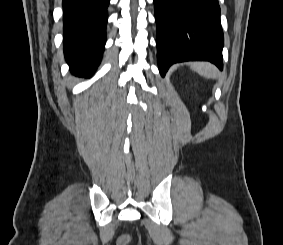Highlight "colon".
<instances>
[{"instance_id":"obj_1","label":"colon","mask_w":283,"mask_h":245,"mask_svg":"<svg viewBox=\"0 0 283 245\" xmlns=\"http://www.w3.org/2000/svg\"><path fill=\"white\" fill-rule=\"evenodd\" d=\"M131 242V236L126 234L118 238L117 245H129Z\"/></svg>"}]
</instances>
